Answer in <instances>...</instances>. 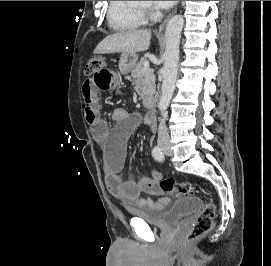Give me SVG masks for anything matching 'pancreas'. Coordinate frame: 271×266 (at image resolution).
<instances>
[{
  "label": "pancreas",
  "mask_w": 271,
  "mask_h": 266,
  "mask_svg": "<svg viewBox=\"0 0 271 266\" xmlns=\"http://www.w3.org/2000/svg\"><path fill=\"white\" fill-rule=\"evenodd\" d=\"M147 62L145 57H142L131 70V76L137 77L135 90L141 97L152 95L155 91V76L153 69L144 71V63Z\"/></svg>",
  "instance_id": "cf45deb5"
}]
</instances>
